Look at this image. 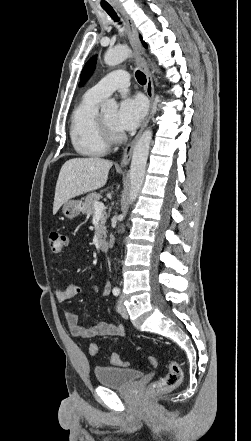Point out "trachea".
<instances>
[{
	"label": "trachea",
	"instance_id": "obj_1",
	"mask_svg": "<svg viewBox=\"0 0 251 441\" xmlns=\"http://www.w3.org/2000/svg\"><path fill=\"white\" fill-rule=\"evenodd\" d=\"M104 10L108 13V15L114 20V21H119V18L117 17L116 12L112 9V8H104ZM136 79L137 81L141 84L144 85L146 84V76L143 72L141 71H136Z\"/></svg>",
	"mask_w": 251,
	"mask_h": 441
}]
</instances>
